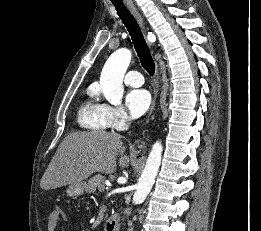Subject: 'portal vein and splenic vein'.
Returning <instances> with one entry per match:
<instances>
[{
  "mask_svg": "<svg viewBox=\"0 0 261 231\" xmlns=\"http://www.w3.org/2000/svg\"><path fill=\"white\" fill-rule=\"evenodd\" d=\"M99 190H100V191H104V190H105V187H103V188H100Z\"/></svg>",
  "mask_w": 261,
  "mask_h": 231,
  "instance_id": "1",
  "label": "portal vein and splenic vein"
}]
</instances>
